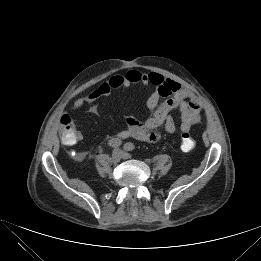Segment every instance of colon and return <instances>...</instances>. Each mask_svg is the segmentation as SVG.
Masks as SVG:
<instances>
[{
  "label": "colon",
  "mask_w": 261,
  "mask_h": 261,
  "mask_svg": "<svg viewBox=\"0 0 261 261\" xmlns=\"http://www.w3.org/2000/svg\"><path fill=\"white\" fill-rule=\"evenodd\" d=\"M61 123V136L62 140L65 144H71L74 142L76 138V131L74 128V124L69 115L64 114L60 120ZM195 147V140L189 134V132H185L181 135V148L185 152H190Z\"/></svg>",
  "instance_id": "5ec220e1"
}]
</instances>
